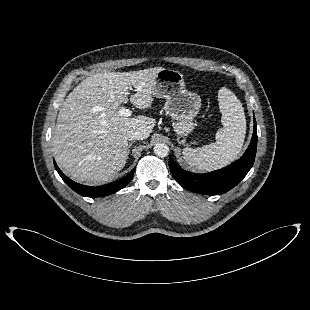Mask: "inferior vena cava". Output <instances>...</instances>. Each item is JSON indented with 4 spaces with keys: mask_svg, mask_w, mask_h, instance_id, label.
<instances>
[{
    "mask_svg": "<svg viewBox=\"0 0 310 310\" xmlns=\"http://www.w3.org/2000/svg\"><path fill=\"white\" fill-rule=\"evenodd\" d=\"M143 138H144L143 134L138 130H131L128 133V139L129 140H142Z\"/></svg>",
    "mask_w": 310,
    "mask_h": 310,
    "instance_id": "obj_1",
    "label": "inferior vena cava"
}]
</instances>
